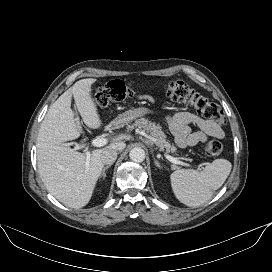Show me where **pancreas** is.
I'll list each match as a JSON object with an SVG mask.
<instances>
[{"label":"pancreas","instance_id":"cf45deb5","mask_svg":"<svg viewBox=\"0 0 272 272\" xmlns=\"http://www.w3.org/2000/svg\"><path fill=\"white\" fill-rule=\"evenodd\" d=\"M138 128L144 132L149 133V141L155 144L160 150H166V152H176L177 148L174 145H171L166 139V134L162 131L159 125L152 123L151 121L141 118L135 121L133 125L130 126V129Z\"/></svg>","mask_w":272,"mask_h":272}]
</instances>
